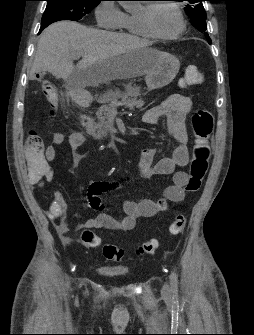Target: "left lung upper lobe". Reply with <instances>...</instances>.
<instances>
[{
  "instance_id": "1",
  "label": "left lung upper lobe",
  "mask_w": 254,
  "mask_h": 335,
  "mask_svg": "<svg viewBox=\"0 0 254 335\" xmlns=\"http://www.w3.org/2000/svg\"><path fill=\"white\" fill-rule=\"evenodd\" d=\"M188 2L191 5H187L184 9L187 15L191 18V23L196 27L199 31L205 33L207 41L211 40L206 32V12L204 10L202 1L203 0H183Z\"/></svg>"
}]
</instances>
